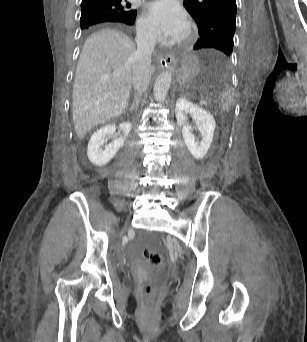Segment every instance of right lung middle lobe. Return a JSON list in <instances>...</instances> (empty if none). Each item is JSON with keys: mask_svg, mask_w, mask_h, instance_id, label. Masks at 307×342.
Listing matches in <instances>:
<instances>
[{"mask_svg": "<svg viewBox=\"0 0 307 342\" xmlns=\"http://www.w3.org/2000/svg\"><path fill=\"white\" fill-rule=\"evenodd\" d=\"M119 14L110 9H86L82 10L80 25L81 29L90 25L115 19Z\"/></svg>", "mask_w": 307, "mask_h": 342, "instance_id": "1", "label": "right lung middle lobe"}]
</instances>
